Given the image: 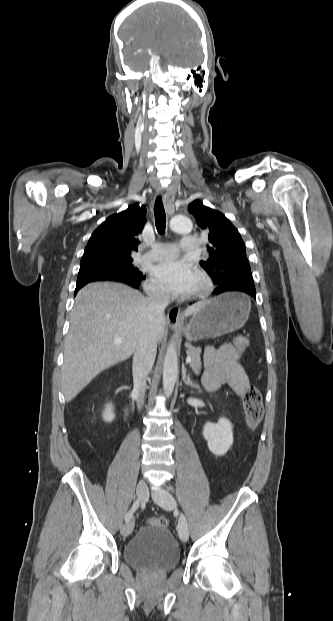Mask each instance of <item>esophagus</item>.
<instances>
[{
    "label": "esophagus",
    "instance_id": "34e87169",
    "mask_svg": "<svg viewBox=\"0 0 333 621\" xmlns=\"http://www.w3.org/2000/svg\"><path fill=\"white\" fill-rule=\"evenodd\" d=\"M174 199H175V188L172 187L165 192L163 195V203L164 207L169 214L174 213ZM168 324L170 326H181L183 324V317L180 313V309L172 308L168 312Z\"/></svg>",
    "mask_w": 333,
    "mask_h": 621
}]
</instances>
